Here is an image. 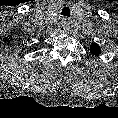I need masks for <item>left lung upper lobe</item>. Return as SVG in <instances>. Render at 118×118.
<instances>
[{
	"label": "left lung upper lobe",
	"mask_w": 118,
	"mask_h": 118,
	"mask_svg": "<svg viewBox=\"0 0 118 118\" xmlns=\"http://www.w3.org/2000/svg\"><path fill=\"white\" fill-rule=\"evenodd\" d=\"M90 50H91V53L96 56H98L101 53L100 47L96 43H93L90 46Z\"/></svg>",
	"instance_id": "obj_1"
}]
</instances>
